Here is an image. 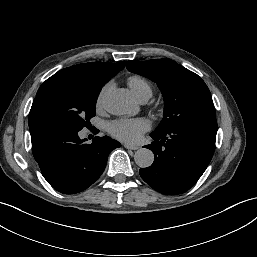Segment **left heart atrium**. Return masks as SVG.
I'll return each mask as SVG.
<instances>
[{"label":"left heart atrium","instance_id":"1","mask_svg":"<svg viewBox=\"0 0 257 257\" xmlns=\"http://www.w3.org/2000/svg\"><path fill=\"white\" fill-rule=\"evenodd\" d=\"M150 127L151 123L145 118L117 119L108 124L107 130L120 141L136 143Z\"/></svg>","mask_w":257,"mask_h":257}]
</instances>
